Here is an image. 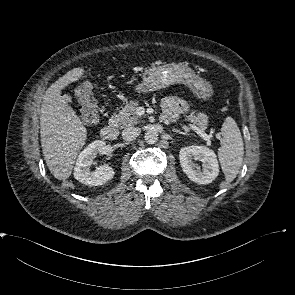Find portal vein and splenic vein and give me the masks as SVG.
I'll return each mask as SVG.
<instances>
[{
  "label": "portal vein and splenic vein",
  "instance_id": "portal-vein-and-splenic-vein-1",
  "mask_svg": "<svg viewBox=\"0 0 295 295\" xmlns=\"http://www.w3.org/2000/svg\"><path fill=\"white\" fill-rule=\"evenodd\" d=\"M190 128L192 130H194L200 137H202L205 141L209 142L212 135H208L207 133H205L202 129H200L199 127L193 125V124H189Z\"/></svg>",
  "mask_w": 295,
  "mask_h": 295
}]
</instances>
